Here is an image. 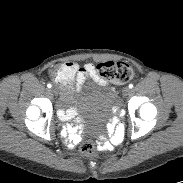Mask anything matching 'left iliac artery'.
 <instances>
[{"mask_svg":"<svg viewBox=\"0 0 183 183\" xmlns=\"http://www.w3.org/2000/svg\"><path fill=\"white\" fill-rule=\"evenodd\" d=\"M129 88L132 89L133 88V84H129Z\"/></svg>","mask_w":183,"mask_h":183,"instance_id":"1","label":"left iliac artery"}]
</instances>
